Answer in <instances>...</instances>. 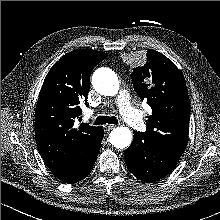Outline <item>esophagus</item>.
<instances>
[{
	"mask_svg": "<svg viewBox=\"0 0 220 220\" xmlns=\"http://www.w3.org/2000/svg\"><path fill=\"white\" fill-rule=\"evenodd\" d=\"M115 127H116L115 125H111V124L110 125H106L105 126V130L106 131H110V130L114 129Z\"/></svg>",
	"mask_w": 220,
	"mask_h": 220,
	"instance_id": "34e87169",
	"label": "esophagus"
}]
</instances>
